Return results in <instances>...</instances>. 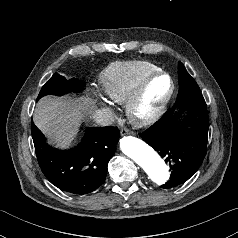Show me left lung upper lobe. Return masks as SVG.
Here are the masks:
<instances>
[{
  "label": "left lung upper lobe",
  "mask_w": 238,
  "mask_h": 238,
  "mask_svg": "<svg viewBox=\"0 0 238 238\" xmlns=\"http://www.w3.org/2000/svg\"><path fill=\"white\" fill-rule=\"evenodd\" d=\"M179 93L171 110H195L207 108L203 95L195 80L189 75L184 65L178 64Z\"/></svg>",
  "instance_id": "obj_1"
}]
</instances>
